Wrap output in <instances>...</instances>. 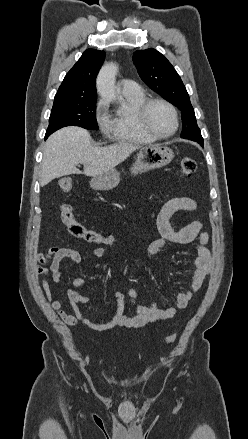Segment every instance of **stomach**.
<instances>
[{"label": "stomach", "instance_id": "obj_1", "mask_svg": "<svg viewBox=\"0 0 248 439\" xmlns=\"http://www.w3.org/2000/svg\"><path fill=\"white\" fill-rule=\"evenodd\" d=\"M174 158L172 149L165 145H149L141 147L137 153L136 161L131 172L138 174L152 169L166 166ZM120 182V175L115 170L95 176L91 179L90 186L95 190H111Z\"/></svg>", "mask_w": 248, "mask_h": 439}]
</instances>
